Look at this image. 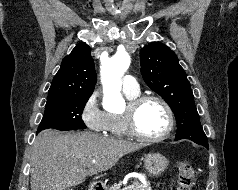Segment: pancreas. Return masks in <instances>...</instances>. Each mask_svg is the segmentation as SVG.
I'll use <instances>...</instances> for the list:
<instances>
[{"mask_svg": "<svg viewBox=\"0 0 238 190\" xmlns=\"http://www.w3.org/2000/svg\"><path fill=\"white\" fill-rule=\"evenodd\" d=\"M131 183H132L131 185L133 186L132 190H152L149 183L144 185L140 180H137V179L132 180ZM121 186H122V182L115 183L107 190H123L124 188L121 189Z\"/></svg>", "mask_w": 238, "mask_h": 190, "instance_id": "cf45deb5", "label": "pancreas"}]
</instances>
